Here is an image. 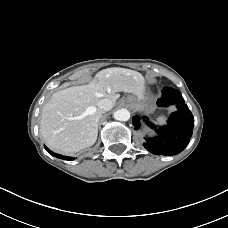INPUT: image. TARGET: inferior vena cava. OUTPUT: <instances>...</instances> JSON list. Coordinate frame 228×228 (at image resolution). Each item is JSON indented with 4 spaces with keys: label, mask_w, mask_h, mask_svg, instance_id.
<instances>
[{
    "label": "inferior vena cava",
    "mask_w": 228,
    "mask_h": 228,
    "mask_svg": "<svg viewBox=\"0 0 228 228\" xmlns=\"http://www.w3.org/2000/svg\"><path fill=\"white\" fill-rule=\"evenodd\" d=\"M98 107L102 111H108V110H110L112 108V101L110 99H108V98L101 99L98 102Z\"/></svg>",
    "instance_id": "602c4592"
}]
</instances>
